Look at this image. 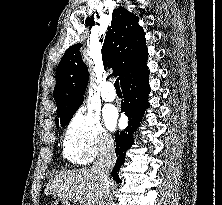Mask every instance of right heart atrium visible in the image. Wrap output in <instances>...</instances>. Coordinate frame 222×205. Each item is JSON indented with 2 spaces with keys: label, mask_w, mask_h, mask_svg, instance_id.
Masks as SVG:
<instances>
[{
  "label": "right heart atrium",
  "mask_w": 222,
  "mask_h": 205,
  "mask_svg": "<svg viewBox=\"0 0 222 205\" xmlns=\"http://www.w3.org/2000/svg\"><path fill=\"white\" fill-rule=\"evenodd\" d=\"M113 140L97 115L78 111L64 135V153L73 163L87 164L111 149Z\"/></svg>",
  "instance_id": "d8ad5b80"
}]
</instances>
